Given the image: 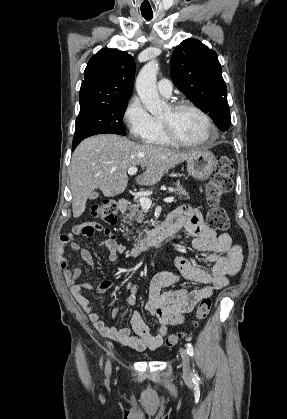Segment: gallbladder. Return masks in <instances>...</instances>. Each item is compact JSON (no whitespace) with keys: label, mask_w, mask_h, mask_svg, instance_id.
<instances>
[{"label":"gallbladder","mask_w":287,"mask_h":419,"mask_svg":"<svg viewBox=\"0 0 287 419\" xmlns=\"http://www.w3.org/2000/svg\"><path fill=\"white\" fill-rule=\"evenodd\" d=\"M98 196H99V193H97V192H92V193L90 194V196H89V199H90V200H94V199L98 198Z\"/></svg>","instance_id":"bac80fb5"}]
</instances>
